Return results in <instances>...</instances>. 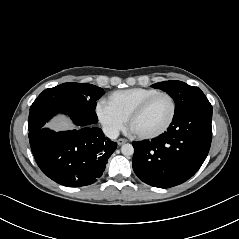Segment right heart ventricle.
I'll use <instances>...</instances> for the list:
<instances>
[{"label":"right heart ventricle","mask_w":239,"mask_h":239,"mask_svg":"<svg viewBox=\"0 0 239 239\" xmlns=\"http://www.w3.org/2000/svg\"><path fill=\"white\" fill-rule=\"evenodd\" d=\"M158 92L153 88H130L117 90L110 93L105 99V104L112 110L127 119L132 109L146 97Z\"/></svg>","instance_id":"obj_1"}]
</instances>
